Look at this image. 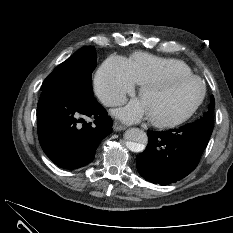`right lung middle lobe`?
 I'll return each mask as SVG.
<instances>
[{"label":"right lung middle lobe","instance_id":"right-lung-middle-lobe-1","mask_svg":"<svg viewBox=\"0 0 233 233\" xmlns=\"http://www.w3.org/2000/svg\"><path fill=\"white\" fill-rule=\"evenodd\" d=\"M96 63L95 49L82 47L54 69L44 80L42 90H56L92 98L91 74Z\"/></svg>","mask_w":233,"mask_h":233}]
</instances>
